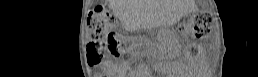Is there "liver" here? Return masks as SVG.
I'll list each match as a JSON object with an SVG mask.
<instances>
[{
  "label": "liver",
  "mask_w": 258,
  "mask_h": 77,
  "mask_svg": "<svg viewBox=\"0 0 258 77\" xmlns=\"http://www.w3.org/2000/svg\"><path fill=\"white\" fill-rule=\"evenodd\" d=\"M110 4L116 15L124 17L122 21L127 29L137 24H158L163 17L153 0H110Z\"/></svg>",
  "instance_id": "1"
}]
</instances>
